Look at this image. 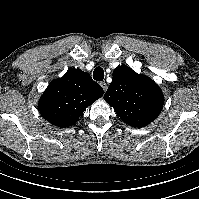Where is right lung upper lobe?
Returning a JSON list of instances; mask_svg holds the SVG:
<instances>
[{
	"mask_svg": "<svg viewBox=\"0 0 199 199\" xmlns=\"http://www.w3.org/2000/svg\"><path fill=\"white\" fill-rule=\"evenodd\" d=\"M102 95V87L87 72L70 69L47 87L39 100V111L52 125L69 127Z\"/></svg>",
	"mask_w": 199,
	"mask_h": 199,
	"instance_id": "obj_1",
	"label": "right lung upper lobe"
}]
</instances>
